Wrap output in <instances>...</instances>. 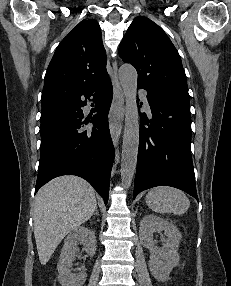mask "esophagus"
Returning <instances> with one entry per match:
<instances>
[{
    "instance_id": "34e87169",
    "label": "esophagus",
    "mask_w": 231,
    "mask_h": 286,
    "mask_svg": "<svg viewBox=\"0 0 231 286\" xmlns=\"http://www.w3.org/2000/svg\"><path fill=\"white\" fill-rule=\"evenodd\" d=\"M112 69H113L114 95H113V102H112V108H111V117L115 115L116 113H118L119 119L116 122L111 120L110 132H111L113 143L115 146H117L120 136H121V130H122L121 114L124 108V94H123L122 88L118 80L116 61L113 62Z\"/></svg>"
}]
</instances>
